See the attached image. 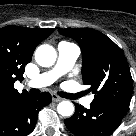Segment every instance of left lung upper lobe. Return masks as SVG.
<instances>
[{
  "mask_svg": "<svg viewBox=\"0 0 136 136\" xmlns=\"http://www.w3.org/2000/svg\"><path fill=\"white\" fill-rule=\"evenodd\" d=\"M76 40L82 50L83 82L90 85L94 100L128 109L133 80L121 49L103 33L90 28L59 29Z\"/></svg>",
  "mask_w": 136,
  "mask_h": 136,
  "instance_id": "5c2ea615",
  "label": "left lung upper lobe"
}]
</instances>
